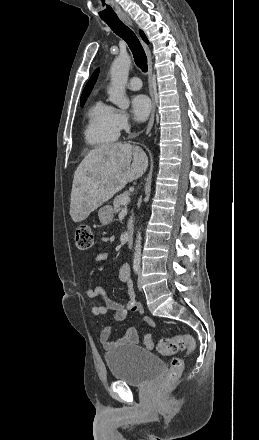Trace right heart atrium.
Returning a JSON list of instances; mask_svg holds the SVG:
<instances>
[{"mask_svg":"<svg viewBox=\"0 0 259 440\" xmlns=\"http://www.w3.org/2000/svg\"><path fill=\"white\" fill-rule=\"evenodd\" d=\"M114 122L119 132L127 131L131 124L129 114L121 110H115Z\"/></svg>","mask_w":259,"mask_h":440,"instance_id":"d8ad5b80","label":"right heart atrium"}]
</instances>
